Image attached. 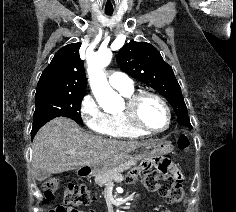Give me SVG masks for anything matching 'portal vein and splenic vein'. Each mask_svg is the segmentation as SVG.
<instances>
[{"instance_id":"1","label":"portal vein and splenic vein","mask_w":236,"mask_h":212,"mask_svg":"<svg viewBox=\"0 0 236 212\" xmlns=\"http://www.w3.org/2000/svg\"><path fill=\"white\" fill-rule=\"evenodd\" d=\"M66 153L74 155V154H76V151L75 150H68V151H66ZM120 179H122V177Z\"/></svg>"}]
</instances>
